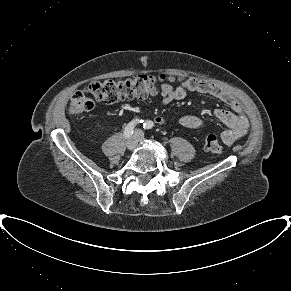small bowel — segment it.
I'll list each match as a JSON object with an SVG mask.
<instances>
[{
  "label": "small bowel",
  "mask_w": 291,
  "mask_h": 291,
  "mask_svg": "<svg viewBox=\"0 0 291 291\" xmlns=\"http://www.w3.org/2000/svg\"><path fill=\"white\" fill-rule=\"evenodd\" d=\"M188 91L211 95L226 103L231 108V111L224 109H216L213 111L214 116L226 127L220 135L224 144L232 145L246 135L248 120L243 113L240 102L228 89L218 83L189 78L185 83L175 88L170 85H164L161 92L162 102L167 104L174 100H183L186 98ZM179 122L181 125L191 129H202L207 126L206 121L193 115H183L180 117Z\"/></svg>",
  "instance_id": "1"
}]
</instances>
